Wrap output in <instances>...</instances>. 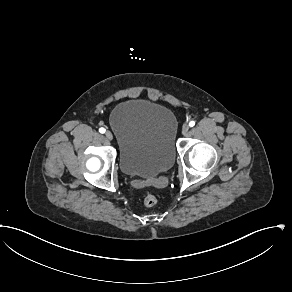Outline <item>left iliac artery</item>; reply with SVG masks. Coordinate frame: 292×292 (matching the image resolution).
<instances>
[{"label": "left iliac artery", "mask_w": 292, "mask_h": 292, "mask_svg": "<svg viewBox=\"0 0 292 292\" xmlns=\"http://www.w3.org/2000/svg\"><path fill=\"white\" fill-rule=\"evenodd\" d=\"M194 125H195V121H190V122H189V126H190V127H193Z\"/></svg>", "instance_id": "left-iliac-artery-1"}]
</instances>
